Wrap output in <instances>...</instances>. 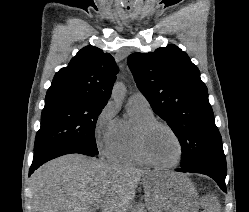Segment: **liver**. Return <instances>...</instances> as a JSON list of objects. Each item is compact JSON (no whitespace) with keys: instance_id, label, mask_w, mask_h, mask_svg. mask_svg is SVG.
I'll use <instances>...</instances> for the list:
<instances>
[{"instance_id":"obj_1","label":"liver","mask_w":249,"mask_h":212,"mask_svg":"<svg viewBox=\"0 0 249 212\" xmlns=\"http://www.w3.org/2000/svg\"><path fill=\"white\" fill-rule=\"evenodd\" d=\"M174 172H145L130 166H110L96 158L69 154L40 166L30 178L33 212H94L101 202L102 212H127L141 178L149 194L166 190ZM204 212H218L217 198L200 202ZM150 210L163 204L149 202Z\"/></svg>"}]
</instances>
